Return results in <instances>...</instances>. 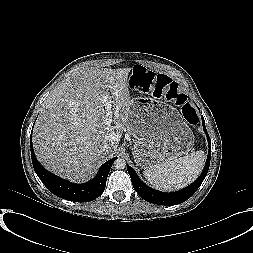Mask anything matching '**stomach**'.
Returning a JSON list of instances; mask_svg holds the SVG:
<instances>
[{
	"instance_id": "stomach-1",
	"label": "stomach",
	"mask_w": 253,
	"mask_h": 253,
	"mask_svg": "<svg viewBox=\"0 0 253 253\" xmlns=\"http://www.w3.org/2000/svg\"><path fill=\"white\" fill-rule=\"evenodd\" d=\"M136 139L132 154L141 168L187 154L194 145V135L183 115L165 101L149 97L131 100L125 125Z\"/></svg>"
}]
</instances>
